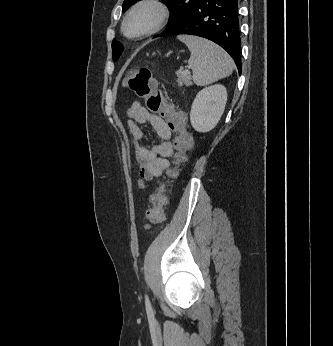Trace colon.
<instances>
[{"mask_svg":"<svg viewBox=\"0 0 333 346\" xmlns=\"http://www.w3.org/2000/svg\"><path fill=\"white\" fill-rule=\"evenodd\" d=\"M125 84L137 97L145 101L149 111L160 112L168 121L171 129L177 132L174 141L176 154L173 166L168 170L170 178L176 177L178 167L187 161V151L192 144V136L184 126V115L175 111L172 105L166 101L149 68L141 67L130 71ZM165 189L166 182H162L150 196L151 206L146 211L147 227L157 225L164 220Z\"/></svg>","mask_w":333,"mask_h":346,"instance_id":"obj_1","label":"colon"}]
</instances>
